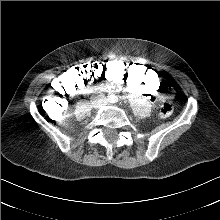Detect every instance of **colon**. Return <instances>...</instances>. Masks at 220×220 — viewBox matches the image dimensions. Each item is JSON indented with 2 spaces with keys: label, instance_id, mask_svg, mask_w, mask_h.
Masks as SVG:
<instances>
[{
  "label": "colon",
  "instance_id": "1",
  "mask_svg": "<svg viewBox=\"0 0 220 220\" xmlns=\"http://www.w3.org/2000/svg\"><path fill=\"white\" fill-rule=\"evenodd\" d=\"M101 81L126 83L140 91H154L160 87L161 78L157 70L149 64L135 61L112 59L108 62H93L78 65L56 78L45 91L44 108L47 113L62 112L66 97L84 84L89 85ZM158 94L148 96L152 106L160 116L172 113L173 107L168 100L173 94L170 87L162 86Z\"/></svg>",
  "mask_w": 220,
  "mask_h": 220
}]
</instances>
